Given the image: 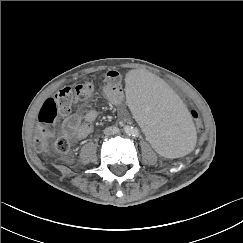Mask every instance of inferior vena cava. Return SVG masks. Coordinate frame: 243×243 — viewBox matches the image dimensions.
Returning a JSON list of instances; mask_svg holds the SVG:
<instances>
[{"mask_svg": "<svg viewBox=\"0 0 243 243\" xmlns=\"http://www.w3.org/2000/svg\"><path fill=\"white\" fill-rule=\"evenodd\" d=\"M118 132H119V128L117 127H107L104 130L105 135H114L117 134Z\"/></svg>", "mask_w": 243, "mask_h": 243, "instance_id": "obj_1", "label": "inferior vena cava"}]
</instances>
